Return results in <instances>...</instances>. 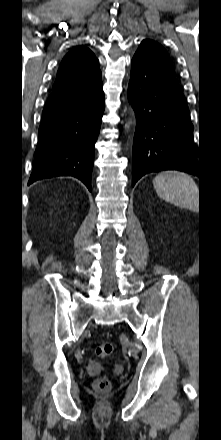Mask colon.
Segmentation results:
<instances>
[{"instance_id": "1", "label": "colon", "mask_w": 221, "mask_h": 440, "mask_svg": "<svg viewBox=\"0 0 221 440\" xmlns=\"http://www.w3.org/2000/svg\"><path fill=\"white\" fill-rule=\"evenodd\" d=\"M112 352L113 345L108 342L99 344L95 349L96 355L101 358L109 356L110 354H112ZM94 387L98 391H107L110 388V381L106 378H99L95 381Z\"/></svg>"}]
</instances>
